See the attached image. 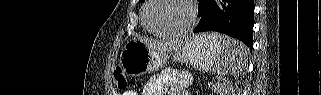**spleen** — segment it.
I'll list each match as a JSON object with an SVG mask.
<instances>
[{
	"mask_svg": "<svg viewBox=\"0 0 321 95\" xmlns=\"http://www.w3.org/2000/svg\"><path fill=\"white\" fill-rule=\"evenodd\" d=\"M210 37L217 38L223 47V52L215 66L216 72L220 75L241 73L247 63V47L228 36L212 33Z\"/></svg>",
	"mask_w": 321,
	"mask_h": 95,
	"instance_id": "obj_1",
	"label": "spleen"
}]
</instances>
